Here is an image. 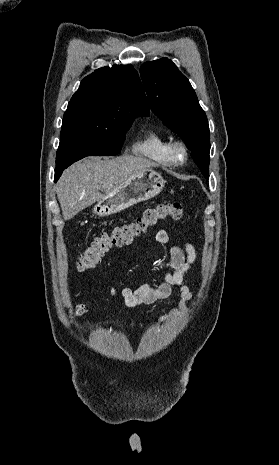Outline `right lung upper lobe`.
Wrapping results in <instances>:
<instances>
[{
  "mask_svg": "<svg viewBox=\"0 0 279 465\" xmlns=\"http://www.w3.org/2000/svg\"><path fill=\"white\" fill-rule=\"evenodd\" d=\"M149 106L134 68L102 67L85 77L71 98L62 128L76 125H102L118 115H147Z\"/></svg>",
  "mask_w": 279,
  "mask_h": 465,
  "instance_id": "1",
  "label": "right lung upper lobe"
}]
</instances>
